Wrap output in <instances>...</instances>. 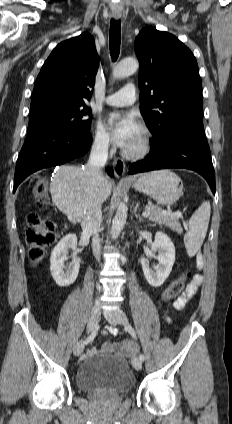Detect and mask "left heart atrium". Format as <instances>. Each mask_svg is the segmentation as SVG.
Here are the masks:
<instances>
[{"instance_id":"obj_1","label":"left heart atrium","mask_w":232,"mask_h":424,"mask_svg":"<svg viewBox=\"0 0 232 424\" xmlns=\"http://www.w3.org/2000/svg\"><path fill=\"white\" fill-rule=\"evenodd\" d=\"M108 122L111 124L114 143L122 148H126L140 131L138 122L131 115L113 114L108 118Z\"/></svg>"}]
</instances>
